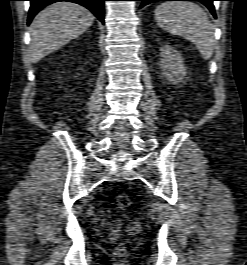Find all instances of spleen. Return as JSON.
Listing matches in <instances>:
<instances>
[{"mask_svg": "<svg viewBox=\"0 0 247 265\" xmlns=\"http://www.w3.org/2000/svg\"><path fill=\"white\" fill-rule=\"evenodd\" d=\"M155 20L167 32L192 42L205 60L215 47L214 29L205 11L193 2L168 1L155 10Z\"/></svg>", "mask_w": 247, "mask_h": 265, "instance_id": "obj_1", "label": "spleen"}]
</instances>
